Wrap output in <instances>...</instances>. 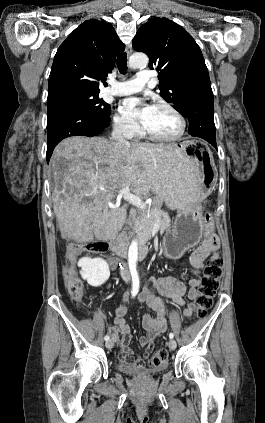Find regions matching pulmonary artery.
Instances as JSON below:
<instances>
[{
	"label": "pulmonary artery",
	"instance_id": "pulmonary-artery-1",
	"mask_svg": "<svg viewBox=\"0 0 265 423\" xmlns=\"http://www.w3.org/2000/svg\"><path fill=\"white\" fill-rule=\"evenodd\" d=\"M152 75L148 70H140L136 77L125 81H112L104 92L110 95L124 96L139 92L145 84L151 82Z\"/></svg>",
	"mask_w": 265,
	"mask_h": 423
}]
</instances>
